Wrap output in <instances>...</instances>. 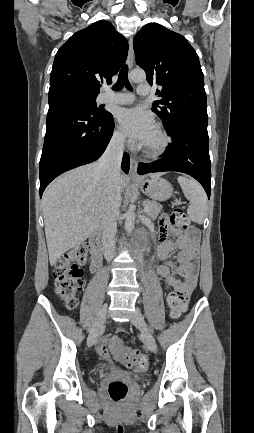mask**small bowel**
Masks as SVG:
<instances>
[{
	"label": "small bowel",
	"mask_w": 254,
	"mask_h": 433,
	"mask_svg": "<svg viewBox=\"0 0 254 433\" xmlns=\"http://www.w3.org/2000/svg\"><path fill=\"white\" fill-rule=\"evenodd\" d=\"M173 232L177 234L176 241L169 240V234ZM197 242L198 235L191 236L187 233H179L171 230L165 220L160 222V237L159 246L157 248V256L164 264L158 265L156 268L157 274L166 280L167 287L173 288L181 300L187 303L191 293L197 283L198 273V258H197ZM179 250L177 267L171 268L167 263L170 254ZM183 277V280L178 279L172 273ZM111 341L110 336H104L100 339L97 347L98 353L105 359L109 360L110 355L107 350V343Z\"/></svg>",
	"instance_id": "1"
}]
</instances>
